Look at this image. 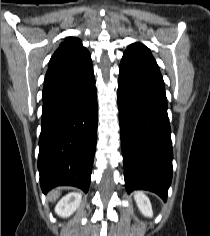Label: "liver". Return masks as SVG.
Returning a JSON list of instances; mask_svg holds the SVG:
<instances>
[{"label": "liver", "mask_w": 210, "mask_h": 236, "mask_svg": "<svg viewBox=\"0 0 210 236\" xmlns=\"http://www.w3.org/2000/svg\"><path fill=\"white\" fill-rule=\"evenodd\" d=\"M60 195V189L53 190L49 193L48 199L49 201H55Z\"/></svg>", "instance_id": "liver-1"}]
</instances>
